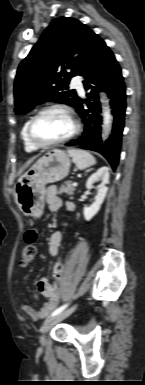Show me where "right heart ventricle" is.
<instances>
[{"mask_svg": "<svg viewBox=\"0 0 145 385\" xmlns=\"http://www.w3.org/2000/svg\"><path fill=\"white\" fill-rule=\"evenodd\" d=\"M29 120H27L21 130V139L24 145V148L27 152H35L37 149L34 148L28 141L27 135H26V130H27V125H28Z\"/></svg>", "mask_w": 145, "mask_h": 385, "instance_id": "e07e8e85", "label": "right heart ventricle"}]
</instances>
